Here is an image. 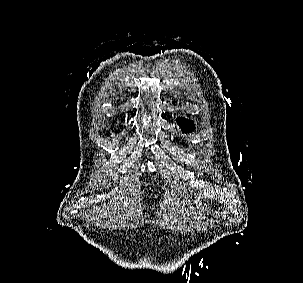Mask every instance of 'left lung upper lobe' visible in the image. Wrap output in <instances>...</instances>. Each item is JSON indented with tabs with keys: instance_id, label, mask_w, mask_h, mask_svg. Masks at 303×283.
Returning <instances> with one entry per match:
<instances>
[{
	"instance_id": "left-lung-upper-lobe-1",
	"label": "left lung upper lobe",
	"mask_w": 303,
	"mask_h": 283,
	"mask_svg": "<svg viewBox=\"0 0 303 283\" xmlns=\"http://www.w3.org/2000/svg\"><path fill=\"white\" fill-rule=\"evenodd\" d=\"M179 126L181 127L183 133H189L192 132L195 128V125L193 124V121H190L188 119H177Z\"/></svg>"
}]
</instances>
